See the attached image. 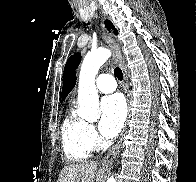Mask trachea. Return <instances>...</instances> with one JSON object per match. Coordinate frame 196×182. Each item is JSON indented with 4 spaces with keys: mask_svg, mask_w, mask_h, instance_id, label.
I'll use <instances>...</instances> for the list:
<instances>
[{
    "mask_svg": "<svg viewBox=\"0 0 196 182\" xmlns=\"http://www.w3.org/2000/svg\"><path fill=\"white\" fill-rule=\"evenodd\" d=\"M114 74H115V76L117 77L118 80L121 81L123 79V73H122V70L119 67H116L114 69Z\"/></svg>",
    "mask_w": 196,
    "mask_h": 182,
    "instance_id": "3493384b",
    "label": "trachea"
}]
</instances>
